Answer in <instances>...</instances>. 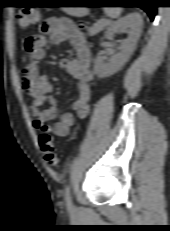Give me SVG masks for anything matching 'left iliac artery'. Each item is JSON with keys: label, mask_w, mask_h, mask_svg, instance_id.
<instances>
[{"label": "left iliac artery", "mask_w": 170, "mask_h": 231, "mask_svg": "<svg viewBox=\"0 0 170 231\" xmlns=\"http://www.w3.org/2000/svg\"><path fill=\"white\" fill-rule=\"evenodd\" d=\"M65 199L67 201V204H71V194H70V187L67 185L65 188Z\"/></svg>", "instance_id": "left-iliac-artery-1"}]
</instances>
